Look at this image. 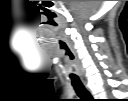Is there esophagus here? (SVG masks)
Returning a JSON list of instances; mask_svg holds the SVG:
<instances>
[{
    "label": "esophagus",
    "mask_w": 128,
    "mask_h": 101,
    "mask_svg": "<svg viewBox=\"0 0 128 101\" xmlns=\"http://www.w3.org/2000/svg\"><path fill=\"white\" fill-rule=\"evenodd\" d=\"M84 82V85L86 86V88H88V86L86 85V82L85 81H83Z\"/></svg>",
    "instance_id": "obj_1"
}]
</instances>
